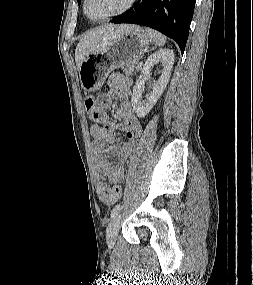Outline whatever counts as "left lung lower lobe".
Instances as JSON below:
<instances>
[{
    "instance_id": "0a47b994",
    "label": "left lung lower lobe",
    "mask_w": 253,
    "mask_h": 285,
    "mask_svg": "<svg viewBox=\"0 0 253 285\" xmlns=\"http://www.w3.org/2000/svg\"><path fill=\"white\" fill-rule=\"evenodd\" d=\"M196 0H138L113 23L142 24L172 38L184 52Z\"/></svg>"
}]
</instances>
